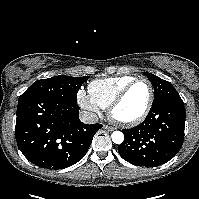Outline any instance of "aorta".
Wrapping results in <instances>:
<instances>
[{
    "mask_svg": "<svg viewBox=\"0 0 199 199\" xmlns=\"http://www.w3.org/2000/svg\"><path fill=\"white\" fill-rule=\"evenodd\" d=\"M111 138L115 144H121L124 141V134L120 131H114Z\"/></svg>",
    "mask_w": 199,
    "mask_h": 199,
    "instance_id": "obj_1",
    "label": "aorta"
}]
</instances>
